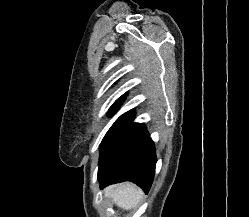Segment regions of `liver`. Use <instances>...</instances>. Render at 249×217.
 <instances>
[{"label":"liver","instance_id":"1","mask_svg":"<svg viewBox=\"0 0 249 217\" xmlns=\"http://www.w3.org/2000/svg\"><path fill=\"white\" fill-rule=\"evenodd\" d=\"M105 197L112 198L114 204L124 210L136 208L143 192L132 183L111 185L104 190Z\"/></svg>","mask_w":249,"mask_h":217}]
</instances>
